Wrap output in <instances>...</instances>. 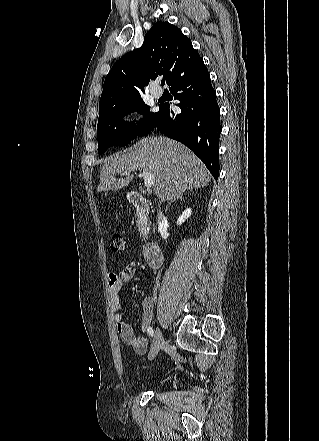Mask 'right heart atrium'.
Returning a JSON list of instances; mask_svg holds the SVG:
<instances>
[{
  "label": "right heart atrium",
  "mask_w": 319,
  "mask_h": 441,
  "mask_svg": "<svg viewBox=\"0 0 319 441\" xmlns=\"http://www.w3.org/2000/svg\"><path fill=\"white\" fill-rule=\"evenodd\" d=\"M127 129L130 133L136 134L142 129V120L138 116L130 117L127 121Z\"/></svg>",
  "instance_id": "obj_1"
}]
</instances>
